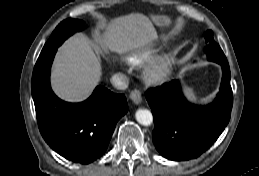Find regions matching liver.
Returning <instances> with one entry per match:
<instances>
[{
    "label": "liver",
    "mask_w": 259,
    "mask_h": 176,
    "mask_svg": "<svg viewBox=\"0 0 259 176\" xmlns=\"http://www.w3.org/2000/svg\"><path fill=\"white\" fill-rule=\"evenodd\" d=\"M96 32V40L106 52L127 53L147 49L157 39L151 20L132 13L111 20ZM102 76L97 47L83 36L69 38L59 49L52 68L54 92L69 102L90 96Z\"/></svg>",
    "instance_id": "1"
}]
</instances>
